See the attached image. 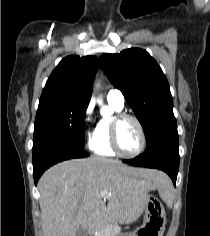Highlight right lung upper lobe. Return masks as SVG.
Masks as SVG:
<instances>
[{"mask_svg":"<svg viewBox=\"0 0 210 236\" xmlns=\"http://www.w3.org/2000/svg\"><path fill=\"white\" fill-rule=\"evenodd\" d=\"M97 65L95 56L64 58L48 78L39 104L72 101L88 106Z\"/></svg>","mask_w":210,"mask_h":236,"instance_id":"obj_1","label":"right lung upper lobe"}]
</instances>
